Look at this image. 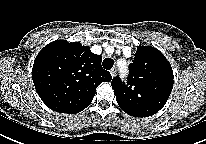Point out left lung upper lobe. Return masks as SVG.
Instances as JSON below:
<instances>
[{"label": "left lung upper lobe", "mask_w": 206, "mask_h": 144, "mask_svg": "<svg viewBox=\"0 0 206 144\" xmlns=\"http://www.w3.org/2000/svg\"><path fill=\"white\" fill-rule=\"evenodd\" d=\"M127 84L113 78L117 103L127 114L146 117L157 113L166 103L173 88V71L165 56L156 48L141 46L129 65Z\"/></svg>", "instance_id": "obj_1"}]
</instances>
